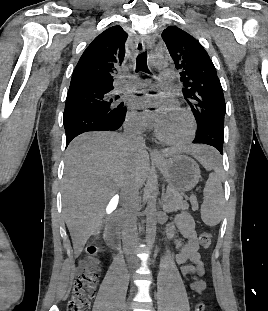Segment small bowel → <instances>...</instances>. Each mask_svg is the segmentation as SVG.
<instances>
[{"instance_id":"small-bowel-1","label":"small bowel","mask_w":268,"mask_h":311,"mask_svg":"<svg viewBox=\"0 0 268 311\" xmlns=\"http://www.w3.org/2000/svg\"><path fill=\"white\" fill-rule=\"evenodd\" d=\"M167 237L172 240L178 250L175 261L181 274L191 275V290L201 294L206 289V282L200 277L206 273V265L199 253V243L195 223L188 212H181L166 228Z\"/></svg>"}]
</instances>
